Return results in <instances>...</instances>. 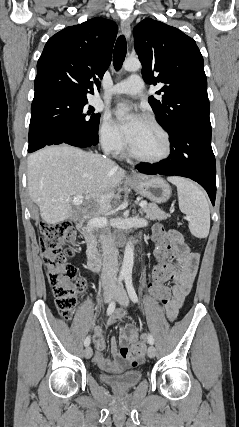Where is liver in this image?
<instances>
[{"instance_id": "1", "label": "liver", "mask_w": 239, "mask_h": 427, "mask_svg": "<svg viewBox=\"0 0 239 427\" xmlns=\"http://www.w3.org/2000/svg\"><path fill=\"white\" fill-rule=\"evenodd\" d=\"M125 174L99 154L68 145L48 146L28 157V192L48 224L100 217L111 209L115 190ZM80 196L94 200L96 209L89 212L80 206L82 202L75 204L72 197Z\"/></svg>"}]
</instances>
